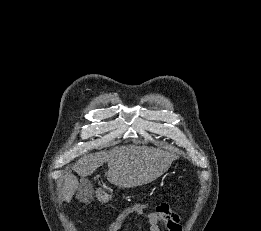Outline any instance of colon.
Masks as SVG:
<instances>
[{"mask_svg":"<svg viewBox=\"0 0 261 231\" xmlns=\"http://www.w3.org/2000/svg\"><path fill=\"white\" fill-rule=\"evenodd\" d=\"M99 196L104 200V201H108L111 197V191L110 188L107 186H103L100 191H99ZM172 209V211L174 213H176L177 215H180L182 210L180 208V206H178V204L170 207Z\"/></svg>","mask_w":261,"mask_h":231,"instance_id":"obj_1","label":"colon"}]
</instances>
